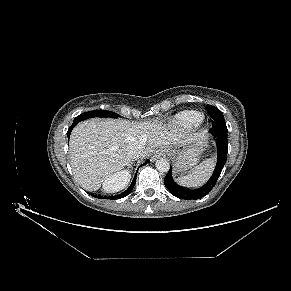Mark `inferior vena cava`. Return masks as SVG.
Here are the masks:
<instances>
[{"instance_id":"1","label":"inferior vena cava","mask_w":291,"mask_h":291,"mask_svg":"<svg viewBox=\"0 0 291 291\" xmlns=\"http://www.w3.org/2000/svg\"><path fill=\"white\" fill-rule=\"evenodd\" d=\"M143 155V147L142 146H134L128 150V156L131 160L139 159Z\"/></svg>"}]
</instances>
